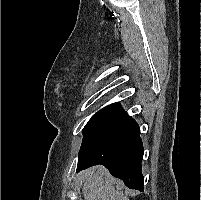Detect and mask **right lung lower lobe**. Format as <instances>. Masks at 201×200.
Masks as SVG:
<instances>
[{"label": "right lung lower lobe", "mask_w": 201, "mask_h": 200, "mask_svg": "<svg viewBox=\"0 0 201 200\" xmlns=\"http://www.w3.org/2000/svg\"><path fill=\"white\" fill-rule=\"evenodd\" d=\"M143 154L138 124L120 109L84 132L77 171L101 164L130 189L143 191Z\"/></svg>", "instance_id": "obj_1"}]
</instances>
